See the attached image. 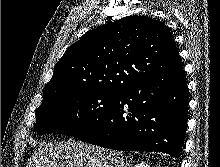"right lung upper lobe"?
<instances>
[{
	"mask_svg": "<svg viewBox=\"0 0 220 167\" xmlns=\"http://www.w3.org/2000/svg\"><path fill=\"white\" fill-rule=\"evenodd\" d=\"M182 66L172 32L162 22L132 15L90 30L56 64L43 102L67 91H121Z\"/></svg>",
	"mask_w": 220,
	"mask_h": 167,
	"instance_id": "cb5924a9",
	"label": "right lung upper lobe"
}]
</instances>
